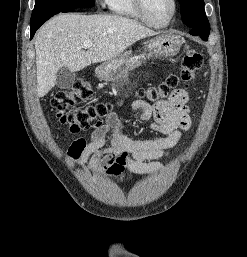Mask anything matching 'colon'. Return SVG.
<instances>
[{"mask_svg":"<svg viewBox=\"0 0 247 257\" xmlns=\"http://www.w3.org/2000/svg\"><path fill=\"white\" fill-rule=\"evenodd\" d=\"M202 66L201 55L190 45H186L183 51L180 77L170 75L163 85L142 89L139 95L151 102H158L175 90L182 81L185 87L194 78L195 72ZM93 95L92 84L85 79H78L73 86L65 91L58 92L51 99V105L61 123L67 125L71 132L85 131L95 125L111 112V103H96L80 108L75 106L90 99Z\"/></svg>","mask_w":247,"mask_h":257,"instance_id":"colon-1","label":"colon"}]
</instances>
